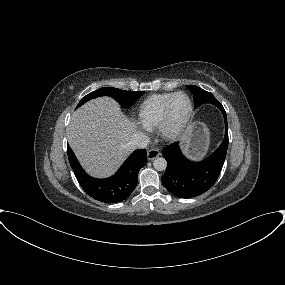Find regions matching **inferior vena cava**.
Returning <instances> with one entry per match:
<instances>
[{
	"label": "inferior vena cava",
	"mask_w": 285,
	"mask_h": 285,
	"mask_svg": "<svg viewBox=\"0 0 285 285\" xmlns=\"http://www.w3.org/2000/svg\"><path fill=\"white\" fill-rule=\"evenodd\" d=\"M149 142L150 140L147 135H145L143 132H136L132 136L128 145L132 150L143 149L148 146Z\"/></svg>",
	"instance_id": "1"
}]
</instances>
